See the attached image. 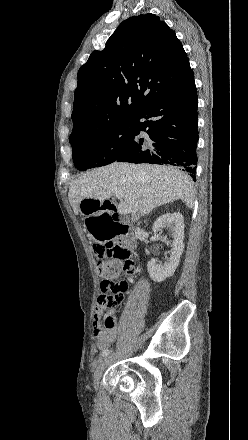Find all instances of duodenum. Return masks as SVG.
<instances>
[{
    "label": "duodenum",
    "instance_id": "410a0bca",
    "mask_svg": "<svg viewBox=\"0 0 248 440\" xmlns=\"http://www.w3.org/2000/svg\"><path fill=\"white\" fill-rule=\"evenodd\" d=\"M105 209L111 212V220L113 228H116L118 236L122 237L125 243L132 247L135 245L137 235L132 232L129 224L116 212V205L111 200L103 201Z\"/></svg>",
    "mask_w": 248,
    "mask_h": 440
}]
</instances>
